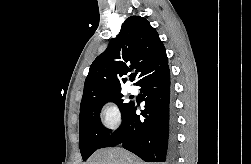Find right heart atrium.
Returning a JSON list of instances; mask_svg holds the SVG:
<instances>
[{
	"label": "right heart atrium",
	"mask_w": 251,
	"mask_h": 164,
	"mask_svg": "<svg viewBox=\"0 0 251 164\" xmlns=\"http://www.w3.org/2000/svg\"><path fill=\"white\" fill-rule=\"evenodd\" d=\"M102 127L108 132L116 131L122 124V114L117 105L106 104L99 114Z\"/></svg>",
	"instance_id": "1"
}]
</instances>
